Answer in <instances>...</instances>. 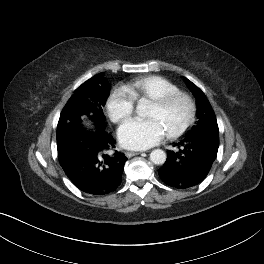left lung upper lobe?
<instances>
[{
	"label": "left lung upper lobe",
	"mask_w": 264,
	"mask_h": 264,
	"mask_svg": "<svg viewBox=\"0 0 264 264\" xmlns=\"http://www.w3.org/2000/svg\"><path fill=\"white\" fill-rule=\"evenodd\" d=\"M185 81L187 82V86L193 92L196 98L197 117H198V121L196 125L192 127L189 134H193L195 132L204 131V130H211L218 132L219 129H218L216 117L206 96L190 80L185 78Z\"/></svg>",
	"instance_id": "1"
}]
</instances>
